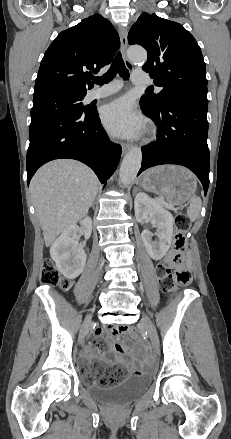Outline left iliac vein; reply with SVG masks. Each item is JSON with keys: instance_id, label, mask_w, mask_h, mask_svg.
Masks as SVG:
<instances>
[{"instance_id": "left-iliac-vein-1", "label": "left iliac vein", "mask_w": 231, "mask_h": 439, "mask_svg": "<svg viewBox=\"0 0 231 439\" xmlns=\"http://www.w3.org/2000/svg\"><path fill=\"white\" fill-rule=\"evenodd\" d=\"M141 325L147 331L154 350L157 351L159 348L158 334H157V331H156L154 324L149 319V317H147L145 314H143V316H142Z\"/></svg>"}]
</instances>
